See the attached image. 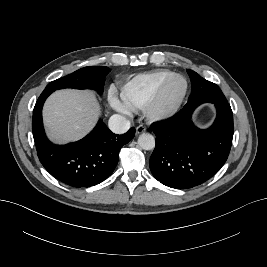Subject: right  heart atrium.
Segmentation results:
<instances>
[{
  "label": "right heart atrium",
  "mask_w": 267,
  "mask_h": 267,
  "mask_svg": "<svg viewBox=\"0 0 267 267\" xmlns=\"http://www.w3.org/2000/svg\"><path fill=\"white\" fill-rule=\"evenodd\" d=\"M109 103L111 107L116 111L123 113L128 112V108L116 97V95L112 91L109 94Z\"/></svg>",
  "instance_id": "obj_1"
}]
</instances>
